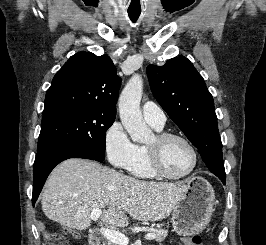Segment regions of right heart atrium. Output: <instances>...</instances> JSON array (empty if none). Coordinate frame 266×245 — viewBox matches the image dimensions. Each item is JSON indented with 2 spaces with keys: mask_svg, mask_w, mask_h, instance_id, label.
Returning <instances> with one entry per match:
<instances>
[{
  "mask_svg": "<svg viewBox=\"0 0 266 245\" xmlns=\"http://www.w3.org/2000/svg\"><path fill=\"white\" fill-rule=\"evenodd\" d=\"M104 151L112 166L131 171L138 159L140 147L131 140L124 126L115 121L105 131Z\"/></svg>",
  "mask_w": 266,
  "mask_h": 245,
  "instance_id": "1",
  "label": "right heart atrium"
}]
</instances>
